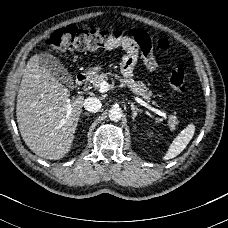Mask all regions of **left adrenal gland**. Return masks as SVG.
<instances>
[{
	"mask_svg": "<svg viewBox=\"0 0 228 228\" xmlns=\"http://www.w3.org/2000/svg\"><path fill=\"white\" fill-rule=\"evenodd\" d=\"M128 104H130V106H131V110H132V119H133V121H135V118H136V116H137V112H141V109H139V108H137L135 105H134V103H128Z\"/></svg>",
	"mask_w": 228,
	"mask_h": 228,
	"instance_id": "left-adrenal-gland-1",
	"label": "left adrenal gland"
}]
</instances>
